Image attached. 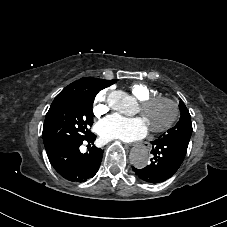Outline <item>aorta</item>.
I'll return each mask as SVG.
<instances>
[{
    "mask_svg": "<svg viewBox=\"0 0 227 227\" xmlns=\"http://www.w3.org/2000/svg\"><path fill=\"white\" fill-rule=\"evenodd\" d=\"M122 92L114 91L109 95V100L114 101L116 98L122 96ZM131 164L136 168H144L149 163V152L144 146L134 148L130 153Z\"/></svg>",
    "mask_w": 227,
    "mask_h": 227,
    "instance_id": "obj_1",
    "label": "aorta"
}]
</instances>
